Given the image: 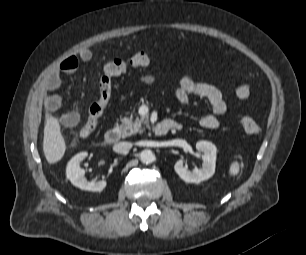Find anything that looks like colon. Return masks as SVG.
<instances>
[{
    "mask_svg": "<svg viewBox=\"0 0 306 255\" xmlns=\"http://www.w3.org/2000/svg\"><path fill=\"white\" fill-rule=\"evenodd\" d=\"M150 61L149 55L144 51L134 53L128 59L114 58L106 61L102 67L99 78V96L90 106L88 118L80 130L81 137L89 136L97 127L99 119L110 102L112 95V78L126 73L129 69L144 67ZM238 125L249 135L255 136L260 133V126L248 116L239 118Z\"/></svg>",
    "mask_w": 306,
    "mask_h": 255,
    "instance_id": "obj_1",
    "label": "colon"
}]
</instances>
